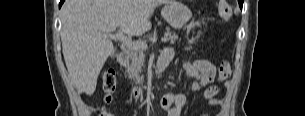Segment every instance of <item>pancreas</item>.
Segmentation results:
<instances>
[{"label": "pancreas", "mask_w": 305, "mask_h": 116, "mask_svg": "<svg viewBox=\"0 0 305 116\" xmlns=\"http://www.w3.org/2000/svg\"><path fill=\"white\" fill-rule=\"evenodd\" d=\"M166 35L168 40H170L172 43L177 40V36L170 31H167ZM129 58L130 62H127L125 64L129 77L135 81L136 85H141L143 83V77L140 76V73L142 72V68L144 67L145 58L143 50L130 49Z\"/></svg>", "instance_id": "cf45deb5"}]
</instances>
